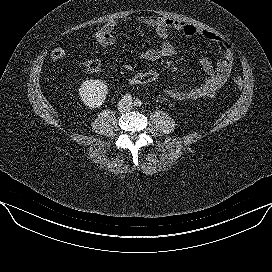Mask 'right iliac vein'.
I'll list each match as a JSON object with an SVG mask.
<instances>
[{
	"mask_svg": "<svg viewBox=\"0 0 272 272\" xmlns=\"http://www.w3.org/2000/svg\"><path fill=\"white\" fill-rule=\"evenodd\" d=\"M125 106H126L125 101H120L119 104H118V109L120 111H123L125 109Z\"/></svg>",
	"mask_w": 272,
	"mask_h": 272,
	"instance_id": "right-iliac-vein-1",
	"label": "right iliac vein"
}]
</instances>
